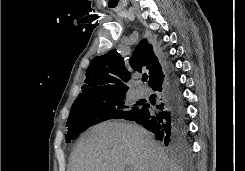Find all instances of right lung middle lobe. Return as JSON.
Wrapping results in <instances>:
<instances>
[{
    "label": "right lung middle lobe",
    "mask_w": 245,
    "mask_h": 171,
    "mask_svg": "<svg viewBox=\"0 0 245 171\" xmlns=\"http://www.w3.org/2000/svg\"><path fill=\"white\" fill-rule=\"evenodd\" d=\"M126 94H118L98 99L74 101L67 121L66 141L70 142L89 127L109 119L132 120L137 116L139 107L125 103Z\"/></svg>",
    "instance_id": "right-lung-middle-lobe-1"
}]
</instances>
